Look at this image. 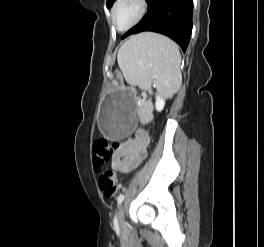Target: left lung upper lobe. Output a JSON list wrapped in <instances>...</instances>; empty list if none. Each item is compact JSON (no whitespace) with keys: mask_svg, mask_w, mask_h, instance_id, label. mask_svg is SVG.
Wrapping results in <instances>:
<instances>
[{"mask_svg":"<svg viewBox=\"0 0 264 247\" xmlns=\"http://www.w3.org/2000/svg\"><path fill=\"white\" fill-rule=\"evenodd\" d=\"M115 0H107V8L111 7Z\"/></svg>","mask_w":264,"mask_h":247,"instance_id":"obj_1","label":"left lung upper lobe"}]
</instances>
